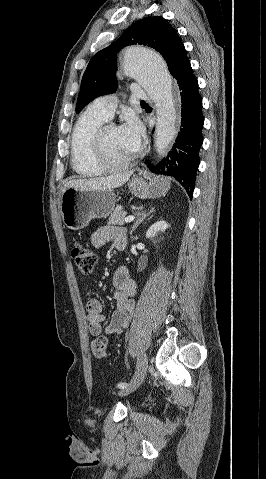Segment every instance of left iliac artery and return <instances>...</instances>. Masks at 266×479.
Listing matches in <instances>:
<instances>
[{
	"label": "left iliac artery",
	"mask_w": 266,
	"mask_h": 479,
	"mask_svg": "<svg viewBox=\"0 0 266 479\" xmlns=\"http://www.w3.org/2000/svg\"><path fill=\"white\" fill-rule=\"evenodd\" d=\"M127 386H128V384L126 382H121V383L117 384V387L120 388V389L126 388Z\"/></svg>",
	"instance_id": "44dca946"
}]
</instances>
